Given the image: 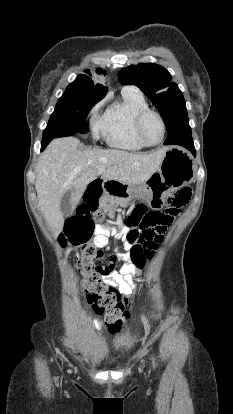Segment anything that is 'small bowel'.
Here are the masks:
<instances>
[{
	"mask_svg": "<svg viewBox=\"0 0 233 414\" xmlns=\"http://www.w3.org/2000/svg\"><path fill=\"white\" fill-rule=\"evenodd\" d=\"M181 208H177L172 212V217L179 213ZM94 244L99 248H104L108 245V236H125V231H96L95 232ZM126 249V247H125ZM106 252H101V257H106ZM110 262H98L96 266V274L103 280V286L105 289H110V293L114 295H130L136 288V284L133 281V275L140 273L141 268L133 264L129 252L126 249L124 253L112 254ZM103 260L102 258L100 259ZM121 261V262H117ZM71 276H78L77 283H82L83 273L78 271H72ZM76 282L75 288L77 287ZM111 287V288H110ZM86 297H91V292H86ZM87 305H90V311L95 314L97 312L102 313L105 307L102 304L92 305V300H87ZM102 315H97V319L94 320V327L100 330L102 327Z\"/></svg>",
	"mask_w": 233,
	"mask_h": 414,
	"instance_id": "c3829d8e",
	"label": "small bowel"
}]
</instances>
